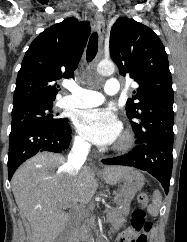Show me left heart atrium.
<instances>
[{"instance_id":"1","label":"left heart atrium","mask_w":187,"mask_h":242,"mask_svg":"<svg viewBox=\"0 0 187 242\" xmlns=\"http://www.w3.org/2000/svg\"><path fill=\"white\" fill-rule=\"evenodd\" d=\"M76 125L80 133L97 145H110L118 140L122 126L117 116L107 108L81 111Z\"/></svg>"}]
</instances>
